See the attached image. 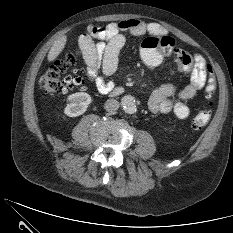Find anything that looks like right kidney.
I'll return each mask as SVG.
<instances>
[{
  "label": "right kidney",
  "instance_id": "obj_1",
  "mask_svg": "<svg viewBox=\"0 0 233 233\" xmlns=\"http://www.w3.org/2000/svg\"><path fill=\"white\" fill-rule=\"evenodd\" d=\"M67 101L68 104L64 109V113L69 117H77L86 112L92 100L89 94L78 92L69 95Z\"/></svg>",
  "mask_w": 233,
  "mask_h": 233
}]
</instances>
